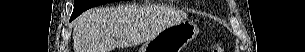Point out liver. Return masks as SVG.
I'll return each instance as SVG.
<instances>
[{
  "label": "liver",
  "instance_id": "liver-1",
  "mask_svg": "<svg viewBox=\"0 0 305 52\" xmlns=\"http://www.w3.org/2000/svg\"><path fill=\"white\" fill-rule=\"evenodd\" d=\"M163 29L148 26L142 7L93 8L74 23V52H111L116 47L148 41Z\"/></svg>",
  "mask_w": 305,
  "mask_h": 52
}]
</instances>
